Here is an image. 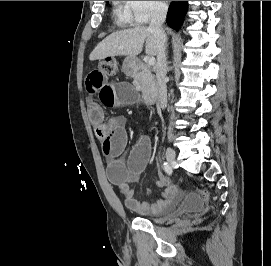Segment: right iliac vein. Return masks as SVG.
I'll list each match as a JSON object with an SVG mask.
<instances>
[{
  "instance_id": "1",
  "label": "right iliac vein",
  "mask_w": 271,
  "mask_h": 266,
  "mask_svg": "<svg viewBox=\"0 0 271 266\" xmlns=\"http://www.w3.org/2000/svg\"><path fill=\"white\" fill-rule=\"evenodd\" d=\"M166 159L169 163L173 164L176 159V153L173 149L167 148L166 150Z\"/></svg>"
}]
</instances>
